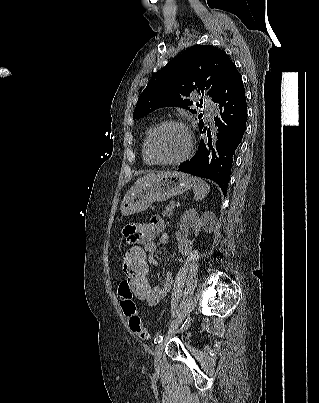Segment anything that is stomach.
<instances>
[{
	"label": "stomach",
	"instance_id": "0dacf381",
	"mask_svg": "<svg viewBox=\"0 0 319 403\" xmlns=\"http://www.w3.org/2000/svg\"><path fill=\"white\" fill-rule=\"evenodd\" d=\"M194 186L191 176L179 172H163L135 184L121 205L123 215L146 210L154 202H163L183 194Z\"/></svg>",
	"mask_w": 319,
	"mask_h": 403
}]
</instances>
